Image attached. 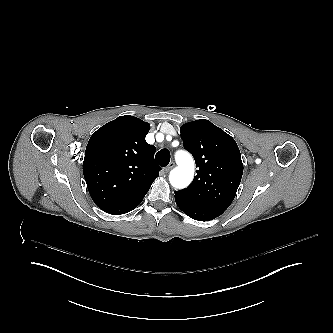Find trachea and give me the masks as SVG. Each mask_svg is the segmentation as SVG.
<instances>
[{
    "label": "trachea",
    "instance_id": "3493384b",
    "mask_svg": "<svg viewBox=\"0 0 333 333\" xmlns=\"http://www.w3.org/2000/svg\"><path fill=\"white\" fill-rule=\"evenodd\" d=\"M156 162L162 166L165 167L170 162V152L167 149L160 150L156 156H155Z\"/></svg>",
    "mask_w": 333,
    "mask_h": 333
}]
</instances>
